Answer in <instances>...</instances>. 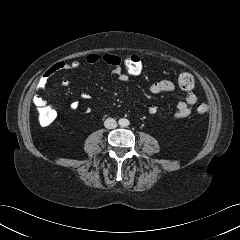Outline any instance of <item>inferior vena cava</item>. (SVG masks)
<instances>
[{"label":"inferior vena cava","instance_id":"obj_1","mask_svg":"<svg viewBox=\"0 0 240 240\" xmlns=\"http://www.w3.org/2000/svg\"><path fill=\"white\" fill-rule=\"evenodd\" d=\"M104 126L107 129H114L117 127V122L113 118H107L104 122Z\"/></svg>","mask_w":240,"mask_h":240}]
</instances>
